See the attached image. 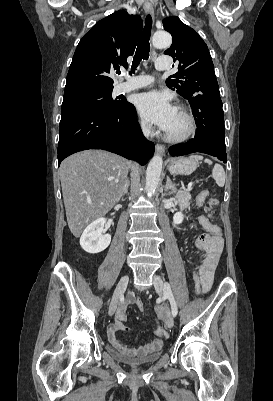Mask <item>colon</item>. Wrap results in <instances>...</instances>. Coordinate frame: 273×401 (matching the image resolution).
Returning a JSON list of instances; mask_svg holds the SVG:
<instances>
[{
    "mask_svg": "<svg viewBox=\"0 0 273 401\" xmlns=\"http://www.w3.org/2000/svg\"><path fill=\"white\" fill-rule=\"evenodd\" d=\"M216 203H217L216 200H214V199L211 200V205L213 207L216 205ZM210 233L215 239H217V238L220 237V228L219 227L210 228ZM135 301H136L137 310L140 313H145L146 312V307L144 306L143 298L139 296V297L136 298Z\"/></svg>",
    "mask_w": 273,
    "mask_h": 401,
    "instance_id": "obj_1",
    "label": "colon"
}]
</instances>
